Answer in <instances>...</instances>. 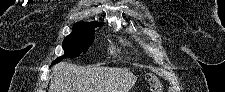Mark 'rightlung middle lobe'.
Listing matches in <instances>:
<instances>
[{
    "mask_svg": "<svg viewBox=\"0 0 225 92\" xmlns=\"http://www.w3.org/2000/svg\"><path fill=\"white\" fill-rule=\"evenodd\" d=\"M101 25L103 23L98 22L72 30V33L63 41L64 55L53 61L52 65L60 62L64 57H78L79 54L86 53L94 40L95 28Z\"/></svg>",
    "mask_w": 225,
    "mask_h": 92,
    "instance_id": "1",
    "label": "right lung middle lobe"
}]
</instances>
